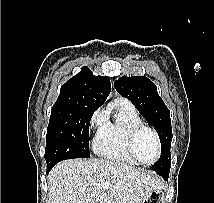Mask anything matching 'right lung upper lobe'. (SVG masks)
<instances>
[{
  "label": "right lung upper lobe",
  "mask_w": 214,
  "mask_h": 203,
  "mask_svg": "<svg viewBox=\"0 0 214 203\" xmlns=\"http://www.w3.org/2000/svg\"><path fill=\"white\" fill-rule=\"evenodd\" d=\"M110 90L111 83L107 77L95 76L84 66L61 86L56 104H81L99 108Z\"/></svg>",
  "instance_id": "right-lung-upper-lobe-1"
}]
</instances>
